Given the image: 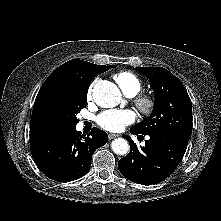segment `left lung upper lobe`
Instances as JSON below:
<instances>
[{"label": "left lung upper lobe", "instance_id": "left-lung-upper-lobe-1", "mask_svg": "<svg viewBox=\"0 0 221 221\" xmlns=\"http://www.w3.org/2000/svg\"><path fill=\"white\" fill-rule=\"evenodd\" d=\"M155 93L153 112L131 129L142 135L164 134L188 142L192 133V105L182 82L162 67H138Z\"/></svg>", "mask_w": 221, "mask_h": 221}]
</instances>
